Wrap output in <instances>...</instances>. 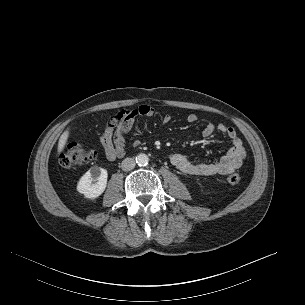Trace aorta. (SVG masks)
Here are the masks:
<instances>
[{
	"label": "aorta",
	"mask_w": 305,
	"mask_h": 305,
	"mask_svg": "<svg viewBox=\"0 0 305 305\" xmlns=\"http://www.w3.org/2000/svg\"><path fill=\"white\" fill-rule=\"evenodd\" d=\"M135 160L137 165L146 166L149 162V157L144 153H140L136 156Z\"/></svg>",
	"instance_id": "762f6f07"
}]
</instances>
